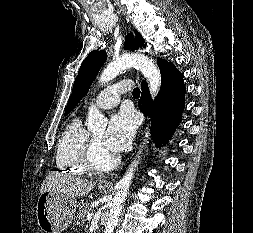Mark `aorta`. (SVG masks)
I'll use <instances>...</instances> for the list:
<instances>
[{
	"mask_svg": "<svg viewBox=\"0 0 253 233\" xmlns=\"http://www.w3.org/2000/svg\"><path fill=\"white\" fill-rule=\"evenodd\" d=\"M135 67L138 68L144 77L147 79L149 89L153 97L157 95L161 86V75L157 66L152 59L143 54H129L124 55L119 59L109 63L103 70L99 83L101 85L109 82L117 77L123 70ZM107 125L106 118L99 112L95 106L89 108L87 117L88 130L91 132L104 130ZM147 143V136L143 139V143L136 155V158L130 164L127 172L123 178L117 184V192L112 200V206L110 208L109 218L107 225L105 226L104 233H113L115 227L118 224L121 209L127 197L134 173L140 162L142 150Z\"/></svg>",
	"mask_w": 253,
	"mask_h": 233,
	"instance_id": "aorta-1",
	"label": "aorta"
}]
</instances>
